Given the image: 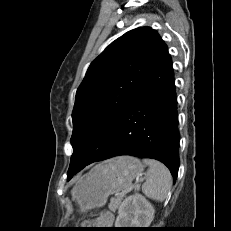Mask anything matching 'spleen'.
Here are the masks:
<instances>
[{"instance_id":"obj_1","label":"spleen","mask_w":231,"mask_h":231,"mask_svg":"<svg viewBox=\"0 0 231 231\" xmlns=\"http://www.w3.org/2000/svg\"><path fill=\"white\" fill-rule=\"evenodd\" d=\"M149 166L146 174V182L142 185V192L148 198L162 202L168 195L172 184V176L168 168L153 159H144Z\"/></svg>"}]
</instances>
